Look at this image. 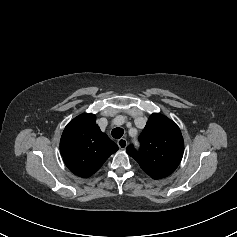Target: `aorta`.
Here are the masks:
<instances>
[{
	"mask_svg": "<svg viewBox=\"0 0 237 237\" xmlns=\"http://www.w3.org/2000/svg\"><path fill=\"white\" fill-rule=\"evenodd\" d=\"M138 144H139V143H138V141L136 140V141H135V145L138 146Z\"/></svg>",
	"mask_w": 237,
	"mask_h": 237,
	"instance_id": "obj_1",
	"label": "aorta"
}]
</instances>
